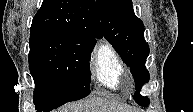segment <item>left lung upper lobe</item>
I'll return each instance as SVG.
<instances>
[{"instance_id": "5c2ea615", "label": "left lung upper lobe", "mask_w": 193, "mask_h": 112, "mask_svg": "<svg viewBox=\"0 0 193 112\" xmlns=\"http://www.w3.org/2000/svg\"><path fill=\"white\" fill-rule=\"evenodd\" d=\"M104 36L130 67L136 82L134 99L139 105L149 103L147 97L139 91L149 81L145 67L149 55V46L144 39V25L134 14L131 0H97L96 1Z\"/></svg>"}]
</instances>
